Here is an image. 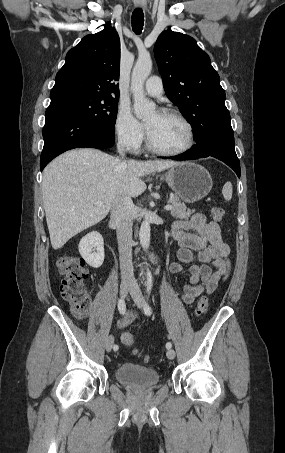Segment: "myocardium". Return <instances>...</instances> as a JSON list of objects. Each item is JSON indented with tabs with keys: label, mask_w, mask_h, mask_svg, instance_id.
Listing matches in <instances>:
<instances>
[{
	"label": "myocardium",
	"mask_w": 285,
	"mask_h": 453,
	"mask_svg": "<svg viewBox=\"0 0 285 453\" xmlns=\"http://www.w3.org/2000/svg\"><path fill=\"white\" fill-rule=\"evenodd\" d=\"M159 114H161L163 116H169V117L176 118L181 123H183V125L187 129L188 141H187L186 145L180 149L166 150V149H162V148L158 147L157 145H155L147 131L146 142H147L148 149L156 154L163 155V156H180V155L187 153L189 150H191L195 144V132H194V128H193L192 124L190 123V121L185 116H183L181 113H179L178 111L173 110V109H163L159 112Z\"/></svg>",
	"instance_id": "1"
}]
</instances>
